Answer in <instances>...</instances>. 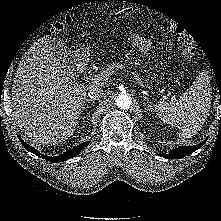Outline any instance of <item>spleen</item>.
<instances>
[{
  "label": "spleen",
  "mask_w": 221,
  "mask_h": 221,
  "mask_svg": "<svg viewBox=\"0 0 221 221\" xmlns=\"http://www.w3.org/2000/svg\"><path fill=\"white\" fill-rule=\"evenodd\" d=\"M212 92L210 78L202 72L178 99L159 102L155 110L161 120L179 129V136L191 138L196 135L209 114Z\"/></svg>",
  "instance_id": "1"
}]
</instances>
